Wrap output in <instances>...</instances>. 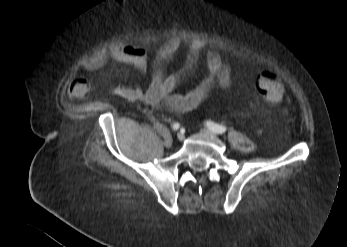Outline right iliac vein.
I'll use <instances>...</instances> for the list:
<instances>
[{"mask_svg": "<svg viewBox=\"0 0 347 247\" xmlns=\"http://www.w3.org/2000/svg\"><path fill=\"white\" fill-rule=\"evenodd\" d=\"M177 139H178L179 141H182V140L184 139V134H183V133H178V134H177Z\"/></svg>", "mask_w": 347, "mask_h": 247, "instance_id": "right-iliac-vein-1", "label": "right iliac vein"}]
</instances>
